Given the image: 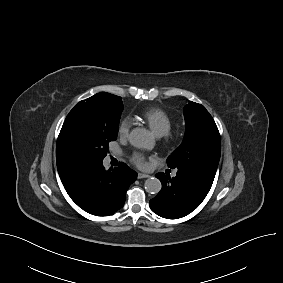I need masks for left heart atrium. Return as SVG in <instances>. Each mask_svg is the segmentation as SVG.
<instances>
[{
    "mask_svg": "<svg viewBox=\"0 0 283 283\" xmlns=\"http://www.w3.org/2000/svg\"><path fill=\"white\" fill-rule=\"evenodd\" d=\"M131 160L140 168H145L147 166L146 157L140 152L133 153Z\"/></svg>",
    "mask_w": 283,
    "mask_h": 283,
    "instance_id": "1",
    "label": "left heart atrium"
}]
</instances>
